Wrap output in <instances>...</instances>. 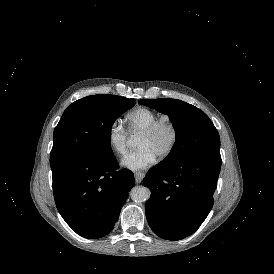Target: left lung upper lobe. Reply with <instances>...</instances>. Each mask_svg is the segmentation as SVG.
<instances>
[{
	"instance_id": "obj_1",
	"label": "left lung upper lobe",
	"mask_w": 274,
	"mask_h": 274,
	"mask_svg": "<svg viewBox=\"0 0 274 274\" xmlns=\"http://www.w3.org/2000/svg\"><path fill=\"white\" fill-rule=\"evenodd\" d=\"M139 103L168 115L174 126L176 142L161 162L163 165H173L201 154L220 155L219 134L202 110L178 99H142Z\"/></svg>"
}]
</instances>
